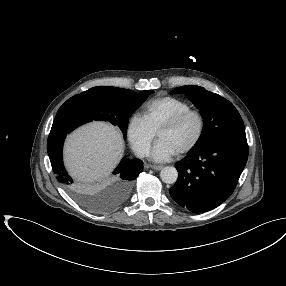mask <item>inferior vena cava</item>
I'll use <instances>...</instances> for the list:
<instances>
[{
	"mask_svg": "<svg viewBox=\"0 0 286 286\" xmlns=\"http://www.w3.org/2000/svg\"><path fill=\"white\" fill-rule=\"evenodd\" d=\"M145 155H147L146 151H141L138 156L139 157H144Z\"/></svg>",
	"mask_w": 286,
	"mask_h": 286,
	"instance_id": "602c4592",
	"label": "inferior vena cava"
}]
</instances>
